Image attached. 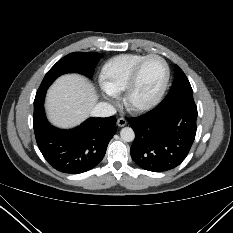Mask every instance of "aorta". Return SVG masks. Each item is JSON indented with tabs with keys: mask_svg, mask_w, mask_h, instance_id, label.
I'll return each mask as SVG.
<instances>
[{
	"mask_svg": "<svg viewBox=\"0 0 233 233\" xmlns=\"http://www.w3.org/2000/svg\"><path fill=\"white\" fill-rule=\"evenodd\" d=\"M120 137L124 142H131L135 138V133L132 128L124 127L120 131Z\"/></svg>",
	"mask_w": 233,
	"mask_h": 233,
	"instance_id": "aorta-1",
	"label": "aorta"
}]
</instances>
